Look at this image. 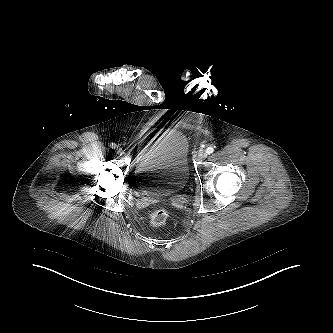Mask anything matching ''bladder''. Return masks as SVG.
<instances>
[{"mask_svg": "<svg viewBox=\"0 0 333 333\" xmlns=\"http://www.w3.org/2000/svg\"><path fill=\"white\" fill-rule=\"evenodd\" d=\"M190 144L179 129L168 131L138 161L134 184L145 195L164 197L181 191L187 184Z\"/></svg>", "mask_w": 333, "mask_h": 333, "instance_id": "obj_1", "label": "bladder"}]
</instances>
